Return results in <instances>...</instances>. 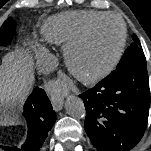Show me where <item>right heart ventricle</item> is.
I'll use <instances>...</instances> for the list:
<instances>
[{"label":"right heart ventricle","mask_w":151,"mask_h":151,"mask_svg":"<svg viewBox=\"0 0 151 151\" xmlns=\"http://www.w3.org/2000/svg\"><path fill=\"white\" fill-rule=\"evenodd\" d=\"M107 13L95 10H80L50 17L42 26L44 38L54 44L67 45L78 38L96 19Z\"/></svg>","instance_id":"e07e8e85"}]
</instances>
